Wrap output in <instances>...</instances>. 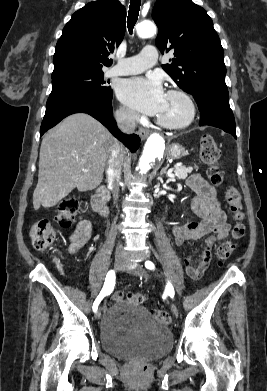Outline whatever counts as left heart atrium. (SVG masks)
Wrapping results in <instances>:
<instances>
[{
	"label": "left heart atrium",
	"mask_w": 267,
	"mask_h": 391,
	"mask_svg": "<svg viewBox=\"0 0 267 391\" xmlns=\"http://www.w3.org/2000/svg\"><path fill=\"white\" fill-rule=\"evenodd\" d=\"M120 100L132 109L148 115H159L166 93L159 78L135 77L124 80L118 87Z\"/></svg>",
	"instance_id": "obj_1"
}]
</instances>
